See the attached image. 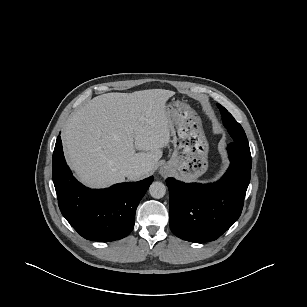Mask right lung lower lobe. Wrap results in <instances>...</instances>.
Returning a JSON list of instances; mask_svg holds the SVG:
<instances>
[{
  "mask_svg": "<svg viewBox=\"0 0 307 307\" xmlns=\"http://www.w3.org/2000/svg\"><path fill=\"white\" fill-rule=\"evenodd\" d=\"M53 182L61 213L84 238L110 242L133 229L137 206L153 177L119 183L106 189H90L79 183L67 166L60 136L52 158Z\"/></svg>",
  "mask_w": 307,
  "mask_h": 307,
  "instance_id": "98d812e1",
  "label": "right lung lower lobe"
}]
</instances>
